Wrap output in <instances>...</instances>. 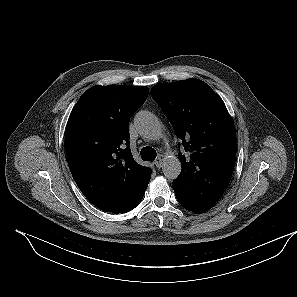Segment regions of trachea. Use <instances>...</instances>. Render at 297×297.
Wrapping results in <instances>:
<instances>
[{
	"mask_svg": "<svg viewBox=\"0 0 297 297\" xmlns=\"http://www.w3.org/2000/svg\"><path fill=\"white\" fill-rule=\"evenodd\" d=\"M140 154H141L142 159L145 161L154 160L157 156L155 149H153L152 147L142 148Z\"/></svg>",
	"mask_w": 297,
	"mask_h": 297,
	"instance_id": "3493384b",
	"label": "trachea"
}]
</instances>
